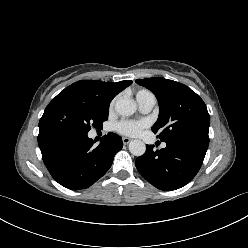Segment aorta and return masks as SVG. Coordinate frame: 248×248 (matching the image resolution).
I'll use <instances>...</instances> for the list:
<instances>
[{"label":"aorta","mask_w":248,"mask_h":248,"mask_svg":"<svg viewBox=\"0 0 248 248\" xmlns=\"http://www.w3.org/2000/svg\"><path fill=\"white\" fill-rule=\"evenodd\" d=\"M116 112L121 116H130L136 111V104L130 99H120L115 105ZM146 145L141 140H132L129 143V151L134 156H141L145 153Z\"/></svg>","instance_id":"aorta-1"}]
</instances>
